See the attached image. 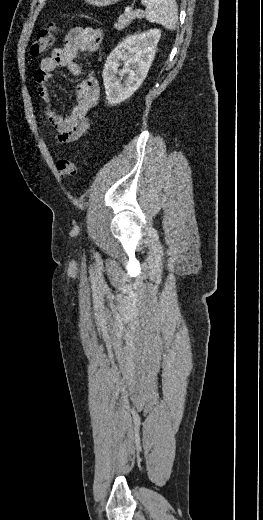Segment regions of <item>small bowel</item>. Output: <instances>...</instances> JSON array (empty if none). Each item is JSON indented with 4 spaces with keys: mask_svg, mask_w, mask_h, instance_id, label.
Segmentation results:
<instances>
[{
    "mask_svg": "<svg viewBox=\"0 0 263 520\" xmlns=\"http://www.w3.org/2000/svg\"><path fill=\"white\" fill-rule=\"evenodd\" d=\"M103 40V32L97 28L74 27L66 35L63 45L52 50L50 56L40 61L34 71L37 93L42 101L43 123L56 133L59 143H71L85 137L90 128L89 111L99 99V83L93 74H88L76 85V104L67 116L57 114L53 108L49 83L57 68L65 67L75 77L82 70L74 59L79 53L96 52Z\"/></svg>",
    "mask_w": 263,
    "mask_h": 520,
    "instance_id": "obj_1",
    "label": "small bowel"
}]
</instances>
